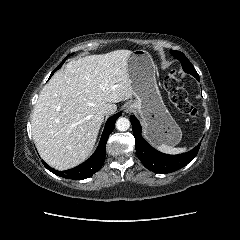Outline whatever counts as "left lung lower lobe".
<instances>
[{
  "mask_svg": "<svg viewBox=\"0 0 240 240\" xmlns=\"http://www.w3.org/2000/svg\"><path fill=\"white\" fill-rule=\"evenodd\" d=\"M195 78L199 81V75ZM131 124L133 126V135L136 141V153L142 164L155 173H171L187 165L197 155L200 145L193 150L179 154L168 155L152 148L141 136V126L138 119L131 115Z\"/></svg>",
  "mask_w": 240,
  "mask_h": 240,
  "instance_id": "left-lung-lower-lobe-1",
  "label": "left lung lower lobe"
}]
</instances>
